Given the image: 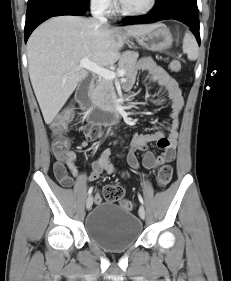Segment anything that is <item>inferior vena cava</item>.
Returning <instances> with one entry per match:
<instances>
[{
	"mask_svg": "<svg viewBox=\"0 0 231 281\" xmlns=\"http://www.w3.org/2000/svg\"><path fill=\"white\" fill-rule=\"evenodd\" d=\"M107 8L105 0H92L91 14L94 19H97L101 24H106L107 19L104 17V11Z\"/></svg>",
	"mask_w": 231,
	"mask_h": 281,
	"instance_id": "602c4592",
	"label": "inferior vena cava"
}]
</instances>
